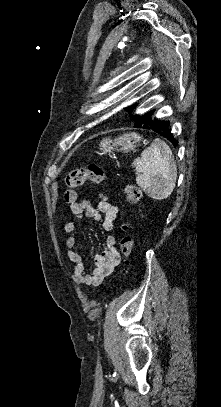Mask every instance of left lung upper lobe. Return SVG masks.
<instances>
[{"label": "left lung upper lobe", "instance_id": "5c2ea615", "mask_svg": "<svg viewBox=\"0 0 221 407\" xmlns=\"http://www.w3.org/2000/svg\"><path fill=\"white\" fill-rule=\"evenodd\" d=\"M136 105L133 106H129L126 108V110H128V112H132L133 108H135ZM136 118V115L134 116V119Z\"/></svg>", "mask_w": 221, "mask_h": 407}]
</instances>
